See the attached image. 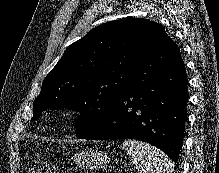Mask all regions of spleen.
<instances>
[{
  "instance_id": "spleen-1",
  "label": "spleen",
  "mask_w": 219,
  "mask_h": 173,
  "mask_svg": "<svg viewBox=\"0 0 219 173\" xmlns=\"http://www.w3.org/2000/svg\"><path fill=\"white\" fill-rule=\"evenodd\" d=\"M123 146L139 173H175V165L157 148L133 139H126Z\"/></svg>"
}]
</instances>
